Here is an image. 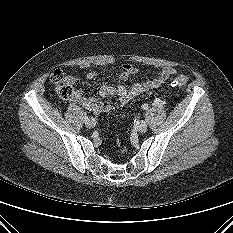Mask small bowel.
<instances>
[{
	"mask_svg": "<svg viewBox=\"0 0 233 233\" xmlns=\"http://www.w3.org/2000/svg\"><path fill=\"white\" fill-rule=\"evenodd\" d=\"M136 73L137 68L134 65L125 63L122 65L120 80L125 82ZM175 74L176 69L168 66L162 68L154 78L145 82L135 83L130 88H127L123 83L113 86L108 82H104L100 87V96L102 99L96 97H85L81 90H76V95L73 99L75 102L81 104L83 107L94 113L109 112L114 108L124 107L143 92L159 88ZM96 75L97 73L95 71H90L86 75V78L91 80L95 78ZM111 96L117 97L115 104H112L106 100Z\"/></svg>",
	"mask_w": 233,
	"mask_h": 233,
	"instance_id": "obj_1",
	"label": "small bowel"
}]
</instances>
